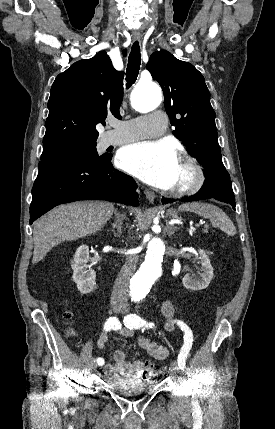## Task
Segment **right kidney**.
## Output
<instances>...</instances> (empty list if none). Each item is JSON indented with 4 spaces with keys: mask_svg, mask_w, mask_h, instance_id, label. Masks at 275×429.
Wrapping results in <instances>:
<instances>
[{
    "mask_svg": "<svg viewBox=\"0 0 275 429\" xmlns=\"http://www.w3.org/2000/svg\"><path fill=\"white\" fill-rule=\"evenodd\" d=\"M89 261V247L81 245L75 252L72 261L73 281L77 284V288L81 294H89L93 291L96 285L95 271L87 265Z\"/></svg>",
    "mask_w": 275,
    "mask_h": 429,
    "instance_id": "1",
    "label": "right kidney"
}]
</instances>
